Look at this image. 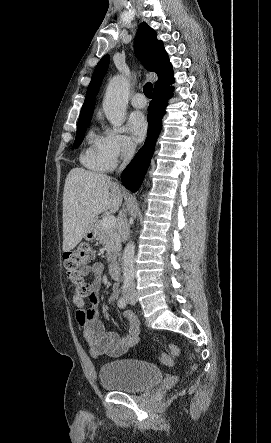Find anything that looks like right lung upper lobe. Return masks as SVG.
<instances>
[{
  "mask_svg": "<svg viewBox=\"0 0 271 443\" xmlns=\"http://www.w3.org/2000/svg\"><path fill=\"white\" fill-rule=\"evenodd\" d=\"M134 49L136 56L145 68L158 75V81L155 87L167 84L173 80L172 65L163 47V42L157 39L156 32L145 22L139 25L134 41ZM109 59V55L104 56L98 62L93 72L79 120L92 116L95 106V96L108 69Z\"/></svg>",
  "mask_w": 271,
  "mask_h": 443,
  "instance_id": "right-lung-upper-lobe-1",
  "label": "right lung upper lobe"
}]
</instances>
